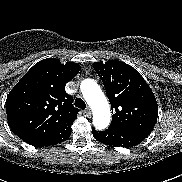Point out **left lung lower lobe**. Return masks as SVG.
Instances as JSON below:
<instances>
[{
	"label": "left lung lower lobe",
	"mask_w": 182,
	"mask_h": 182,
	"mask_svg": "<svg viewBox=\"0 0 182 182\" xmlns=\"http://www.w3.org/2000/svg\"><path fill=\"white\" fill-rule=\"evenodd\" d=\"M92 130V134L97 141L113 147L128 148L136 146L147 137L135 132L111 127L104 131H97L94 128Z\"/></svg>",
	"instance_id": "left-lung-lower-lobe-1"
}]
</instances>
